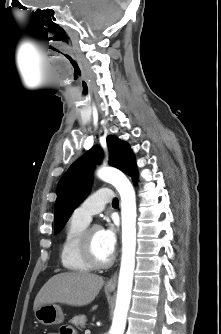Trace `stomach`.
<instances>
[{"instance_id":"0dacf381","label":"stomach","mask_w":221,"mask_h":334,"mask_svg":"<svg viewBox=\"0 0 221 334\" xmlns=\"http://www.w3.org/2000/svg\"><path fill=\"white\" fill-rule=\"evenodd\" d=\"M107 291H113L108 289ZM35 318L44 325H56L64 321V314L61 307L57 304H45L34 312Z\"/></svg>"}]
</instances>
